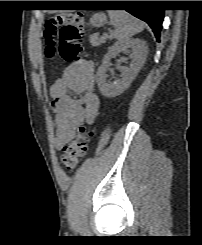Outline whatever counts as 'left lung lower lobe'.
<instances>
[{
    "instance_id": "1",
    "label": "left lung lower lobe",
    "mask_w": 202,
    "mask_h": 245,
    "mask_svg": "<svg viewBox=\"0 0 202 245\" xmlns=\"http://www.w3.org/2000/svg\"><path fill=\"white\" fill-rule=\"evenodd\" d=\"M152 4L153 1H104L106 6L127 7L126 11L145 21L152 28L157 41H159L164 10L150 8Z\"/></svg>"
}]
</instances>
